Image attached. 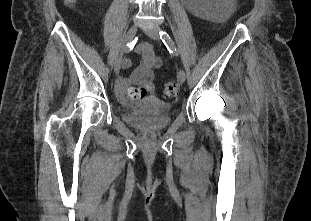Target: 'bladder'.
<instances>
[{"label":"bladder","instance_id":"31cf9c89","mask_svg":"<svg viewBox=\"0 0 311 221\" xmlns=\"http://www.w3.org/2000/svg\"><path fill=\"white\" fill-rule=\"evenodd\" d=\"M127 116L124 123L134 127L144 135L155 134L170 126L171 118L168 113L171 104L149 95L136 102L124 103Z\"/></svg>","mask_w":311,"mask_h":221}]
</instances>
